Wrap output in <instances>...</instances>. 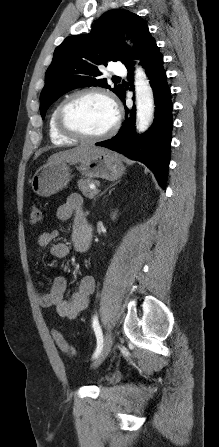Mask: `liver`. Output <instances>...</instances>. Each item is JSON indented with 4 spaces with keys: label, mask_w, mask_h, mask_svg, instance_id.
Segmentation results:
<instances>
[{
    "label": "liver",
    "mask_w": 219,
    "mask_h": 447,
    "mask_svg": "<svg viewBox=\"0 0 219 447\" xmlns=\"http://www.w3.org/2000/svg\"><path fill=\"white\" fill-rule=\"evenodd\" d=\"M103 151V148L81 145L72 149L60 151L51 155L48 159V163H81L86 162L95 157L97 154Z\"/></svg>",
    "instance_id": "1"
}]
</instances>
